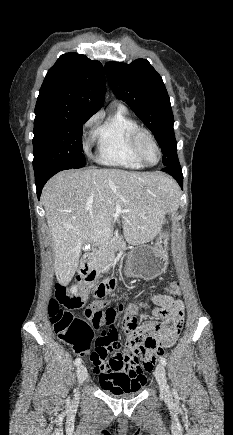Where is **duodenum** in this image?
<instances>
[{"mask_svg":"<svg viewBox=\"0 0 233 435\" xmlns=\"http://www.w3.org/2000/svg\"><path fill=\"white\" fill-rule=\"evenodd\" d=\"M107 248V243L106 242H100L98 243V245L90 252L84 254L83 258H82V265H81V273L84 274H88L90 272H95L93 267H92V263L94 260L95 255L100 252L103 251ZM107 282L105 283H101V284H97L94 287V295L96 297H101L105 292V288L107 286Z\"/></svg>","mask_w":233,"mask_h":435,"instance_id":"1","label":"duodenum"}]
</instances>
